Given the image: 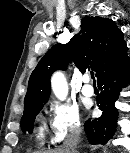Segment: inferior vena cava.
<instances>
[{
  "mask_svg": "<svg viewBox=\"0 0 130 153\" xmlns=\"http://www.w3.org/2000/svg\"><path fill=\"white\" fill-rule=\"evenodd\" d=\"M81 131L82 129L80 127H75L71 131L70 136L64 142V148L66 153H75L74 148L76 147Z\"/></svg>",
  "mask_w": 130,
  "mask_h": 153,
  "instance_id": "602c4592",
  "label": "inferior vena cava"
}]
</instances>
